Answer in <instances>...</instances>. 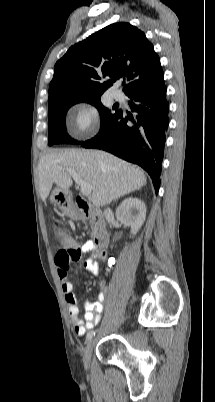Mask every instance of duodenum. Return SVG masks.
Listing matches in <instances>:
<instances>
[{
	"label": "duodenum",
	"mask_w": 215,
	"mask_h": 402,
	"mask_svg": "<svg viewBox=\"0 0 215 402\" xmlns=\"http://www.w3.org/2000/svg\"><path fill=\"white\" fill-rule=\"evenodd\" d=\"M70 215L77 220L91 219L96 225L95 243L99 247H106L110 241V235L105 228L104 217L101 212L92 207L83 198L77 197L69 209Z\"/></svg>",
	"instance_id": "duodenum-1"
}]
</instances>
